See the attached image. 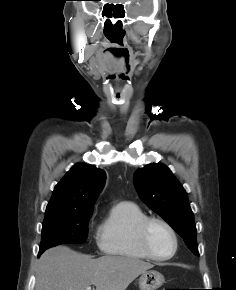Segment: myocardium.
<instances>
[{"label": "myocardium", "instance_id": "myocardium-1", "mask_svg": "<svg viewBox=\"0 0 236 290\" xmlns=\"http://www.w3.org/2000/svg\"><path fill=\"white\" fill-rule=\"evenodd\" d=\"M153 224H160L165 227L171 234L174 242L173 251L167 256H159L154 253L149 243V231ZM139 244L143 252L150 258L156 261H166L175 256L179 247V239L175 229L166 220L159 217H146L138 226L137 229Z\"/></svg>", "mask_w": 236, "mask_h": 290}]
</instances>
